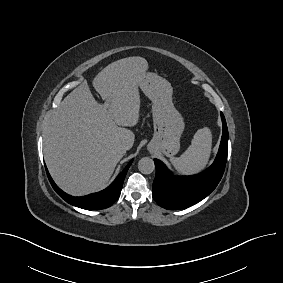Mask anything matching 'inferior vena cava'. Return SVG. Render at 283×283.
<instances>
[{
    "instance_id": "obj_1",
    "label": "inferior vena cava",
    "mask_w": 283,
    "mask_h": 283,
    "mask_svg": "<svg viewBox=\"0 0 283 283\" xmlns=\"http://www.w3.org/2000/svg\"><path fill=\"white\" fill-rule=\"evenodd\" d=\"M122 147H123L124 149H126V150L129 149V146H128V144H126V143H123Z\"/></svg>"
}]
</instances>
